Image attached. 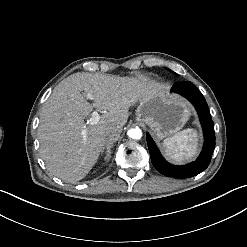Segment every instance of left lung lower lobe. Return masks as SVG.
I'll return each mask as SVG.
<instances>
[{
  "instance_id": "1",
  "label": "left lung lower lobe",
  "mask_w": 247,
  "mask_h": 247,
  "mask_svg": "<svg viewBox=\"0 0 247 247\" xmlns=\"http://www.w3.org/2000/svg\"><path fill=\"white\" fill-rule=\"evenodd\" d=\"M171 91L184 96L195 106L204 132L203 150L196 161L183 166H175L162 157L151 136L147 133L148 148L152 164L158 172L167 177L190 178L204 171L211 161L215 148L213 121L204 96L192 82H178L172 86Z\"/></svg>"
}]
</instances>
